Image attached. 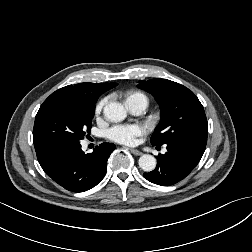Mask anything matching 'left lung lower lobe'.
<instances>
[{
  "mask_svg": "<svg viewBox=\"0 0 252 252\" xmlns=\"http://www.w3.org/2000/svg\"><path fill=\"white\" fill-rule=\"evenodd\" d=\"M206 142L198 139H182L167 144V152L157 156L156 168L144 173V177L162 186L173 185L184 179L198 164Z\"/></svg>",
  "mask_w": 252,
  "mask_h": 252,
  "instance_id": "1",
  "label": "left lung lower lobe"
}]
</instances>
